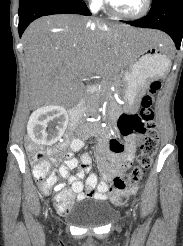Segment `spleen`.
Wrapping results in <instances>:
<instances>
[{
	"mask_svg": "<svg viewBox=\"0 0 183 246\" xmlns=\"http://www.w3.org/2000/svg\"><path fill=\"white\" fill-rule=\"evenodd\" d=\"M146 64L145 60L144 59H140L139 62H137L134 66V69L137 70L139 69L140 67H144Z\"/></svg>",
	"mask_w": 183,
	"mask_h": 246,
	"instance_id": "spleen-1",
	"label": "spleen"
}]
</instances>
